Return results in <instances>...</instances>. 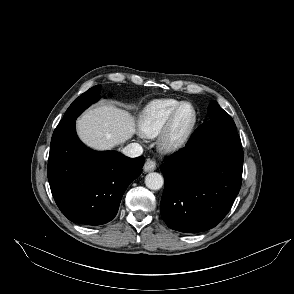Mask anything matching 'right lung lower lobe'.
Returning <instances> with one entry per match:
<instances>
[{
  "mask_svg": "<svg viewBox=\"0 0 294 294\" xmlns=\"http://www.w3.org/2000/svg\"><path fill=\"white\" fill-rule=\"evenodd\" d=\"M93 103L99 86L87 91ZM144 157L93 151L78 139L75 120L58 124L50 144L48 180L61 212L72 222L101 225L117 214L128 185L142 171Z\"/></svg>",
  "mask_w": 294,
  "mask_h": 294,
  "instance_id": "98d812e1",
  "label": "right lung lower lobe"
}]
</instances>
